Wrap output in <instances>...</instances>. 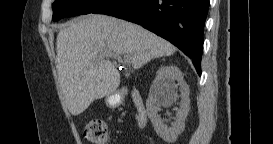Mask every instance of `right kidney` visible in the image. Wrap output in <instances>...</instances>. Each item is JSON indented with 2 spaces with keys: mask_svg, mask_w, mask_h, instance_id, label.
I'll return each mask as SVG.
<instances>
[{
  "mask_svg": "<svg viewBox=\"0 0 273 144\" xmlns=\"http://www.w3.org/2000/svg\"><path fill=\"white\" fill-rule=\"evenodd\" d=\"M180 86L183 102L178 110L175 121L168 127L164 124L162 118L158 114L155 106L157 100L161 99L166 103L172 101L176 97V84ZM153 93L149 96L146 102L147 114L150 118L155 132L166 142L173 143L182 133L185 127V119L189 111V87L183 80L181 71L175 66L162 67L158 72L154 81Z\"/></svg>",
  "mask_w": 273,
  "mask_h": 144,
  "instance_id": "1",
  "label": "right kidney"
}]
</instances>
